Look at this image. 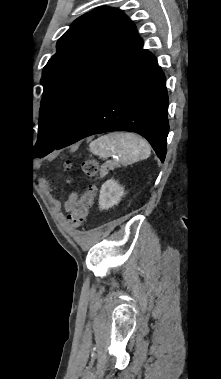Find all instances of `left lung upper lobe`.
Returning <instances> with one entry per match:
<instances>
[{"label":"left lung upper lobe","mask_w":221,"mask_h":379,"mask_svg":"<svg viewBox=\"0 0 221 379\" xmlns=\"http://www.w3.org/2000/svg\"><path fill=\"white\" fill-rule=\"evenodd\" d=\"M142 39L119 9L96 8L77 18L44 67L36 157L65 139L100 94L142 51Z\"/></svg>","instance_id":"left-lung-upper-lobe-1"}]
</instances>
